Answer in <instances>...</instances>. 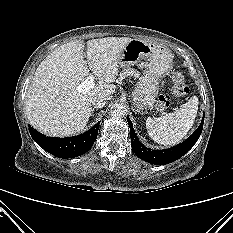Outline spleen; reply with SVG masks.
I'll list each match as a JSON object with an SVG mask.
<instances>
[{
	"mask_svg": "<svg viewBox=\"0 0 233 233\" xmlns=\"http://www.w3.org/2000/svg\"><path fill=\"white\" fill-rule=\"evenodd\" d=\"M198 105V97L193 96L173 113L158 118L148 117L146 128L149 136L155 142L163 145L179 143L192 128Z\"/></svg>",
	"mask_w": 233,
	"mask_h": 233,
	"instance_id": "1",
	"label": "spleen"
}]
</instances>
